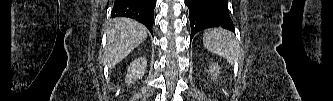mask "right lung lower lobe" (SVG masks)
Returning <instances> with one entry per match:
<instances>
[{
  "label": "right lung lower lobe",
  "mask_w": 333,
  "mask_h": 101,
  "mask_svg": "<svg viewBox=\"0 0 333 101\" xmlns=\"http://www.w3.org/2000/svg\"><path fill=\"white\" fill-rule=\"evenodd\" d=\"M156 0H115L112 17H129L145 25L152 33Z\"/></svg>",
  "instance_id": "obj_1"
}]
</instances>
